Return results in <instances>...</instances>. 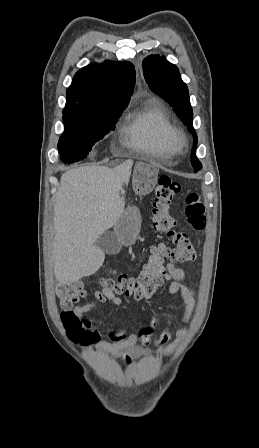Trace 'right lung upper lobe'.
Instances as JSON below:
<instances>
[{
    "instance_id": "1",
    "label": "right lung upper lobe",
    "mask_w": 259,
    "mask_h": 448,
    "mask_svg": "<svg viewBox=\"0 0 259 448\" xmlns=\"http://www.w3.org/2000/svg\"><path fill=\"white\" fill-rule=\"evenodd\" d=\"M134 85L135 68L130 62L105 61L85 66L67 89L63 115L125 109Z\"/></svg>"
}]
</instances>
